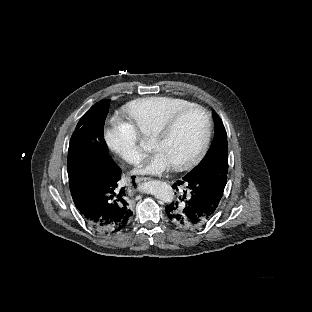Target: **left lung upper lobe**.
<instances>
[{
    "mask_svg": "<svg viewBox=\"0 0 312 312\" xmlns=\"http://www.w3.org/2000/svg\"><path fill=\"white\" fill-rule=\"evenodd\" d=\"M212 116L215 125V135L212 146L203 160L185 175L186 177H192L206 170H222L228 172L227 134L218 114L213 112Z\"/></svg>",
    "mask_w": 312,
    "mask_h": 312,
    "instance_id": "obj_1",
    "label": "left lung upper lobe"
}]
</instances>
